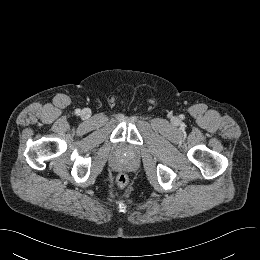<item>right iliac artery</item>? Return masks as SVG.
Instances as JSON below:
<instances>
[{
    "instance_id": "right-iliac-artery-1",
    "label": "right iliac artery",
    "mask_w": 260,
    "mask_h": 260,
    "mask_svg": "<svg viewBox=\"0 0 260 260\" xmlns=\"http://www.w3.org/2000/svg\"><path fill=\"white\" fill-rule=\"evenodd\" d=\"M80 112H81L80 109H76V110H75V114H77V115H79Z\"/></svg>"
}]
</instances>
